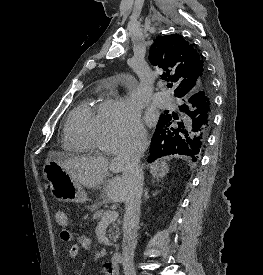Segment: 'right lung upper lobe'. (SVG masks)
I'll use <instances>...</instances> for the list:
<instances>
[{"mask_svg":"<svg viewBox=\"0 0 263 275\" xmlns=\"http://www.w3.org/2000/svg\"><path fill=\"white\" fill-rule=\"evenodd\" d=\"M152 65L163 71L162 78L175 84L174 95L190 94L207 82V73L197 50L179 34L158 36L149 51ZM209 124L213 117V97L207 102Z\"/></svg>","mask_w":263,"mask_h":275,"instance_id":"1","label":"right lung upper lobe"}]
</instances>
